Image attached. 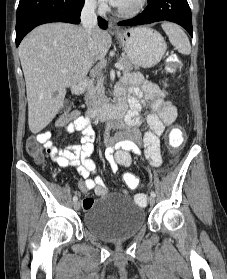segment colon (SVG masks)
I'll return each instance as SVG.
<instances>
[{"label": "colon", "instance_id": "1", "mask_svg": "<svg viewBox=\"0 0 227 279\" xmlns=\"http://www.w3.org/2000/svg\"><path fill=\"white\" fill-rule=\"evenodd\" d=\"M69 109V106H66V110ZM185 139V135L182 132L181 129L179 128H174L170 133H169V146L170 148L174 151L180 146H182L183 142ZM27 153L33 157L35 162L41 163L44 161V156L41 152L40 147L38 144L34 141H29L26 146ZM124 183L126 184L127 187L131 189H135L139 187L141 180L139 176L133 174V173H125L123 176ZM146 195L144 193H139L136 198L135 202L139 205L146 203Z\"/></svg>", "mask_w": 227, "mask_h": 279}]
</instances>
